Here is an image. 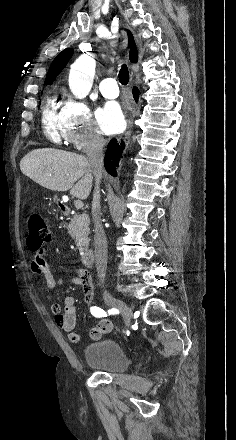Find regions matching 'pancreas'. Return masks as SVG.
I'll use <instances>...</instances> for the list:
<instances>
[{"instance_id":"pancreas-1","label":"pancreas","mask_w":236,"mask_h":440,"mask_svg":"<svg viewBox=\"0 0 236 440\" xmlns=\"http://www.w3.org/2000/svg\"><path fill=\"white\" fill-rule=\"evenodd\" d=\"M90 219L86 213L75 214L71 219L67 229L71 237L75 240L79 252H84L88 249L90 234Z\"/></svg>"}]
</instances>
